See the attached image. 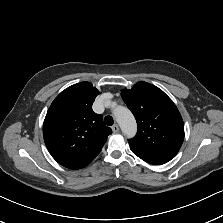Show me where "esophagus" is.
<instances>
[{"mask_svg": "<svg viewBox=\"0 0 223 223\" xmlns=\"http://www.w3.org/2000/svg\"><path fill=\"white\" fill-rule=\"evenodd\" d=\"M112 131H113V133H117V132L119 131V126H118V124H114V125L112 126Z\"/></svg>", "mask_w": 223, "mask_h": 223, "instance_id": "1", "label": "esophagus"}]
</instances>
